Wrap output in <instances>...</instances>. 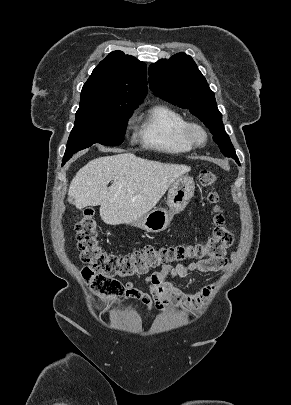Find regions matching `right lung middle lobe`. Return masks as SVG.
<instances>
[{"instance_id": "dd1d6c3e", "label": "right lung middle lobe", "mask_w": 291, "mask_h": 405, "mask_svg": "<svg viewBox=\"0 0 291 405\" xmlns=\"http://www.w3.org/2000/svg\"><path fill=\"white\" fill-rule=\"evenodd\" d=\"M134 109L136 108L113 105L80 107L67 142L63 164L77 151L95 143L120 145L124 139L128 118Z\"/></svg>"}]
</instances>
